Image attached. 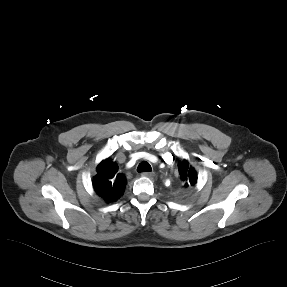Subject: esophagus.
Segmentation results:
<instances>
[{"label":"esophagus","instance_id":"esophagus-1","mask_svg":"<svg viewBox=\"0 0 287 287\" xmlns=\"http://www.w3.org/2000/svg\"><path fill=\"white\" fill-rule=\"evenodd\" d=\"M143 176L148 177V178H153L155 176L154 172H144Z\"/></svg>","mask_w":287,"mask_h":287}]
</instances>
